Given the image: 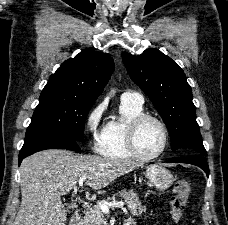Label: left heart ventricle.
I'll use <instances>...</instances> for the list:
<instances>
[{
	"mask_svg": "<svg viewBox=\"0 0 228 225\" xmlns=\"http://www.w3.org/2000/svg\"><path fill=\"white\" fill-rule=\"evenodd\" d=\"M164 143V133L161 126L153 121H146L138 134V144L144 154L152 155L159 152Z\"/></svg>",
	"mask_w": 228,
	"mask_h": 225,
	"instance_id": "b2bd125f",
	"label": "left heart ventricle"
}]
</instances>
